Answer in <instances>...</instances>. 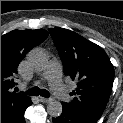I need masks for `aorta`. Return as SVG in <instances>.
Returning <instances> with one entry per match:
<instances>
[{
	"label": "aorta",
	"instance_id": "obj_1",
	"mask_svg": "<svg viewBox=\"0 0 123 123\" xmlns=\"http://www.w3.org/2000/svg\"><path fill=\"white\" fill-rule=\"evenodd\" d=\"M27 61L35 70H43L48 65V56L45 51L36 48L28 53ZM62 110V104L57 100H51L47 105L48 114L54 118L59 117Z\"/></svg>",
	"mask_w": 123,
	"mask_h": 123
}]
</instances>
